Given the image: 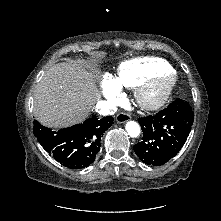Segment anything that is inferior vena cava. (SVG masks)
I'll return each mask as SVG.
<instances>
[{
  "label": "inferior vena cava",
  "mask_w": 221,
  "mask_h": 221,
  "mask_svg": "<svg viewBox=\"0 0 221 221\" xmlns=\"http://www.w3.org/2000/svg\"><path fill=\"white\" fill-rule=\"evenodd\" d=\"M96 111L100 115H111L116 111L115 108L108 101H98L96 104Z\"/></svg>",
  "instance_id": "obj_1"
}]
</instances>
